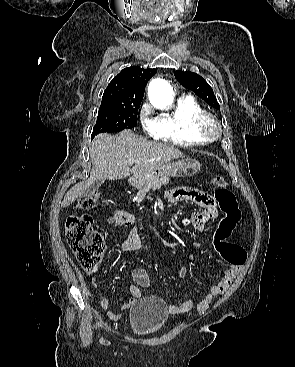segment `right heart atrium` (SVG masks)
<instances>
[{
    "label": "right heart atrium",
    "instance_id": "obj_1",
    "mask_svg": "<svg viewBox=\"0 0 295 367\" xmlns=\"http://www.w3.org/2000/svg\"><path fill=\"white\" fill-rule=\"evenodd\" d=\"M140 122L146 133L153 137H158L160 132V124L158 119L153 116V111L149 104H145L141 108Z\"/></svg>",
    "mask_w": 295,
    "mask_h": 367
}]
</instances>
